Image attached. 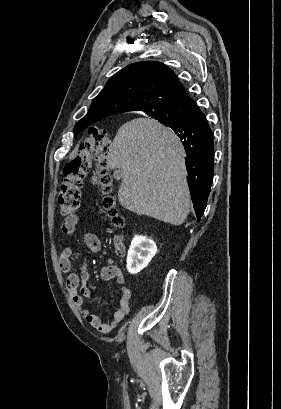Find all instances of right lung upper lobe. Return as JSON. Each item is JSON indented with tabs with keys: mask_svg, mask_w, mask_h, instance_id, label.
<instances>
[{
	"mask_svg": "<svg viewBox=\"0 0 281 409\" xmlns=\"http://www.w3.org/2000/svg\"><path fill=\"white\" fill-rule=\"evenodd\" d=\"M187 98L174 72L166 65L154 61L133 63L107 82L74 128L82 131L111 115L128 111L151 112Z\"/></svg>",
	"mask_w": 281,
	"mask_h": 409,
	"instance_id": "cb5924a9",
	"label": "right lung upper lobe"
}]
</instances>
